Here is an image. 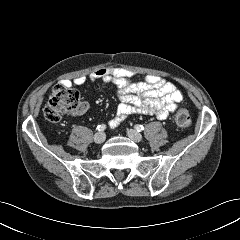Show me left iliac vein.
Returning <instances> with one entry per match:
<instances>
[{"label":"left iliac vein","instance_id":"4c4485c4","mask_svg":"<svg viewBox=\"0 0 240 240\" xmlns=\"http://www.w3.org/2000/svg\"><path fill=\"white\" fill-rule=\"evenodd\" d=\"M127 135L130 139H132L135 142H140L142 140V135L138 133L136 130L129 129L127 131Z\"/></svg>","mask_w":240,"mask_h":240}]
</instances>
